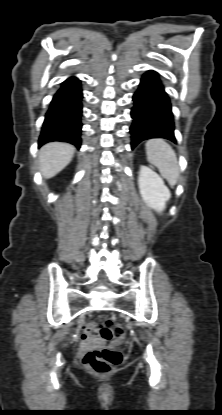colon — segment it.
Here are the masks:
<instances>
[{"mask_svg": "<svg viewBox=\"0 0 222 415\" xmlns=\"http://www.w3.org/2000/svg\"><path fill=\"white\" fill-rule=\"evenodd\" d=\"M123 336V328L114 326L112 319H106L101 323H88L82 331V338L84 340H111L113 338H122ZM122 360L123 354L119 350L94 348L85 353L83 364L95 374L107 375L120 365Z\"/></svg>", "mask_w": 222, "mask_h": 415, "instance_id": "obj_1", "label": "colon"}]
</instances>
